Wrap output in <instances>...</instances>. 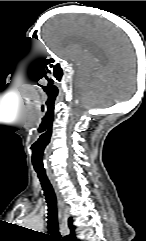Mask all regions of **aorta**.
<instances>
[{
  "mask_svg": "<svg viewBox=\"0 0 146 241\" xmlns=\"http://www.w3.org/2000/svg\"><path fill=\"white\" fill-rule=\"evenodd\" d=\"M26 226L32 230H41L43 227V220L40 217H33L26 223Z\"/></svg>",
  "mask_w": 146,
  "mask_h": 241,
  "instance_id": "obj_1",
  "label": "aorta"
}]
</instances>
